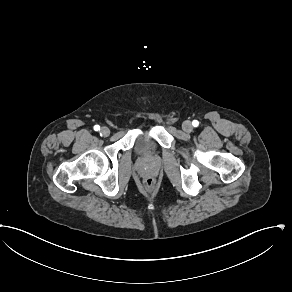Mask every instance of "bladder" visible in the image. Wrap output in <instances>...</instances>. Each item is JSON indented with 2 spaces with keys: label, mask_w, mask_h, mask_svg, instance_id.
Returning a JSON list of instances; mask_svg holds the SVG:
<instances>
[{
  "label": "bladder",
  "mask_w": 292,
  "mask_h": 292,
  "mask_svg": "<svg viewBox=\"0 0 292 292\" xmlns=\"http://www.w3.org/2000/svg\"><path fill=\"white\" fill-rule=\"evenodd\" d=\"M155 146L153 139L149 136L148 131L138 135L135 140V150L138 153H145L152 150Z\"/></svg>",
  "instance_id": "31cf9c89"
}]
</instances>
